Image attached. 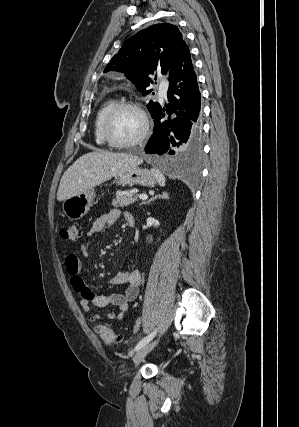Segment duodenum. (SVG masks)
<instances>
[{
  "label": "duodenum",
  "instance_id": "410a0bca",
  "mask_svg": "<svg viewBox=\"0 0 299 427\" xmlns=\"http://www.w3.org/2000/svg\"><path fill=\"white\" fill-rule=\"evenodd\" d=\"M127 223L130 227H134L135 226V219L133 216L128 217L127 219Z\"/></svg>",
  "mask_w": 299,
  "mask_h": 427
}]
</instances>
